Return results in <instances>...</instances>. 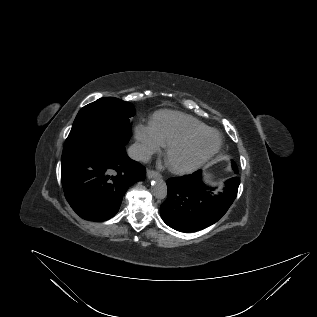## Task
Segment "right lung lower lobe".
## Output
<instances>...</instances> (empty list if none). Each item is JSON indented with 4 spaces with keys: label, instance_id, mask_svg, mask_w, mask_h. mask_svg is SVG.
<instances>
[{
    "label": "right lung lower lobe",
    "instance_id": "1",
    "mask_svg": "<svg viewBox=\"0 0 317 317\" xmlns=\"http://www.w3.org/2000/svg\"><path fill=\"white\" fill-rule=\"evenodd\" d=\"M146 177L145 168L130 159L125 144L106 141L85 154L61 162L65 197L82 218L105 221L119 210L126 190Z\"/></svg>",
    "mask_w": 317,
    "mask_h": 317
}]
</instances>
